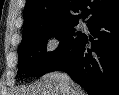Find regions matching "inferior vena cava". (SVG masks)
<instances>
[{
    "mask_svg": "<svg viewBox=\"0 0 119 95\" xmlns=\"http://www.w3.org/2000/svg\"><path fill=\"white\" fill-rule=\"evenodd\" d=\"M66 79H67V81H69V77L68 76H66Z\"/></svg>",
    "mask_w": 119,
    "mask_h": 95,
    "instance_id": "inferior-vena-cava-1",
    "label": "inferior vena cava"
}]
</instances>
